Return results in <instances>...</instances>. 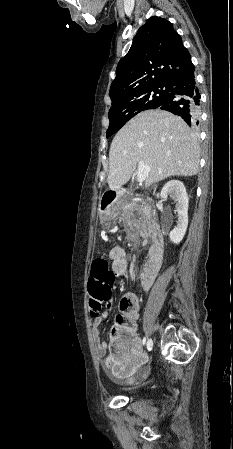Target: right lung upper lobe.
<instances>
[{
	"label": "right lung upper lobe",
	"instance_id": "obj_1",
	"mask_svg": "<svg viewBox=\"0 0 233 449\" xmlns=\"http://www.w3.org/2000/svg\"><path fill=\"white\" fill-rule=\"evenodd\" d=\"M193 69L190 53L172 23L154 16L139 28L129 52L118 63L109 95L114 99L146 86L167 84Z\"/></svg>",
	"mask_w": 233,
	"mask_h": 449
}]
</instances>
